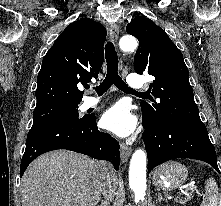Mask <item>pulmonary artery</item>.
<instances>
[{
	"label": "pulmonary artery",
	"mask_w": 221,
	"mask_h": 206,
	"mask_svg": "<svg viewBox=\"0 0 221 206\" xmlns=\"http://www.w3.org/2000/svg\"><path fill=\"white\" fill-rule=\"evenodd\" d=\"M127 85L132 89H140L144 86V79L137 74H130L126 79ZM101 102L100 98L89 97L86 101L87 107H93Z\"/></svg>",
	"instance_id": "1"
}]
</instances>
